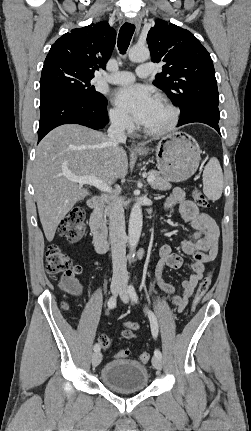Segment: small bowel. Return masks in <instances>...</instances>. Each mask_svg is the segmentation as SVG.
Segmentation results:
<instances>
[{"mask_svg":"<svg viewBox=\"0 0 251 431\" xmlns=\"http://www.w3.org/2000/svg\"><path fill=\"white\" fill-rule=\"evenodd\" d=\"M177 207L181 217L189 222L194 228L195 233L192 240L181 242L182 251L193 258L192 273L190 277L182 282V294L170 295L168 300L175 305L179 312L187 306L194 289L202 279L205 266L208 262L215 259L219 246V230L213 218L203 212L192 201L186 199L184 192L180 188H175L166 201L165 209L170 211ZM160 258L155 269V277L159 287L169 293L175 292V287L167 283L162 278L164 267L179 268L182 259L174 253L168 244L163 245L159 251ZM120 335L125 339L137 338L136 332L140 329L137 322L125 321ZM99 345V344H98Z\"/></svg>","mask_w":251,"mask_h":431,"instance_id":"c3829d8e","label":"small bowel"}]
</instances>
